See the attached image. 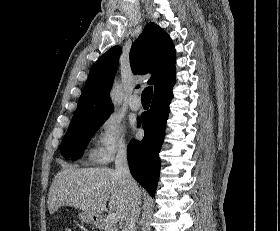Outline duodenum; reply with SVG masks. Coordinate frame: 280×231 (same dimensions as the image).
I'll return each mask as SVG.
<instances>
[{
	"mask_svg": "<svg viewBox=\"0 0 280 231\" xmlns=\"http://www.w3.org/2000/svg\"><path fill=\"white\" fill-rule=\"evenodd\" d=\"M98 221H99V223H101V224L105 223V219H104V218H99Z\"/></svg>",
	"mask_w": 280,
	"mask_h": 231,
	"instance_id": "410a0bca",
	"label": "duodenum"
}]
</instances>
